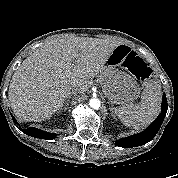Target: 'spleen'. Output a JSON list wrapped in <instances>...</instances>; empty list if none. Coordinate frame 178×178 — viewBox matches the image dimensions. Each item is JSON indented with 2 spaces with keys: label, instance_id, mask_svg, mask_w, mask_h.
Masks as SVG:
<instances>
[{
  "label": "spleen",
  "instance_id": "obj_1",
  "mask_svg": "<svg viewBox=\"0 0 178 178\" xmlns=\"http://www.w3.org/2000/svg\"><path fill=\"white\" fill-rule=\"evenodd\" d=\"M161 96V85L159 81L153 80L144 89L141 102L114 110L125 126L138 129L154 120L159 112Z\"/></svg>",
  "mask_w": 178,
  "mask_h": 178
}]
</instances>
